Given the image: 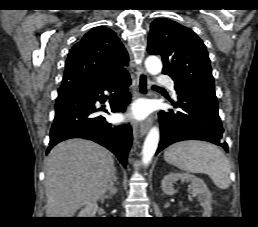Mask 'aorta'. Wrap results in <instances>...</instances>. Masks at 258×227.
<instances>
[{"label":"aorta","mask_w":258,"mask_h":227,"mask_svg":"<svg viewBox=\"0 0 258 227\" xmlns=\"http://www.w3.org/2000/svg\"><path fill=\"white\" fill-rule=\"evenodd\" d=\"M145 67L151 75H157L162 71V62L156 56H149L145 60ZM159 143V130L157 127H152L148 132L142 149V162L147 166L154 156Z\"/></svg>","instance_id":"762f6f07"}]
</instances>
